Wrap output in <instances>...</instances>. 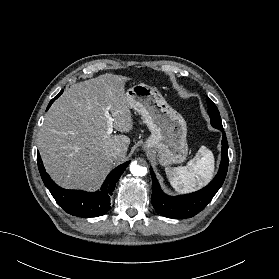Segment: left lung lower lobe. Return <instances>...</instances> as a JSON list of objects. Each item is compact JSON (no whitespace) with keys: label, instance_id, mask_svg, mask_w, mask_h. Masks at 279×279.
<instances>
[{"label":"left lung lower lobe","instance_id":"left-lung-lower-lobe-1","mask_svg":"<svg viewBox=\"0 0 279 279\" xmlns=\"http://www.w3.org/2000/svg\"><path fill=\"white\" fill-rule=\"evenodd\" d=\"M222 139V160L216 177L203 189L177 197L166 195L160 188L156 176L150 168L152 176V205L156 212L168 217L184 219L190 218L203 210L222 186L228 170V142L224 129Z\"/></svg>","mask_w":279,"mask_h":279}]
</instances>
